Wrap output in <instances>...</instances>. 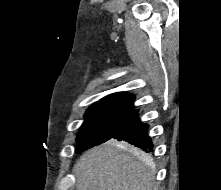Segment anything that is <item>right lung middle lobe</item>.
<instances>
[{"label": "right lung middle lobe", "instance_id": "1", "mask_svg": "<svg viewBox=\"0 0 221 190\" xmlns=\"http://www.w3.org/2000/svg\"><path fill=\"white\" fill-rule=\"evenodd\" d=\"M138 110L111 105H92L85 113V121L77 135V152H83L113 138Z\"/></svg>", "mask_w": 221, "mask_h": 190}]
</instances>
